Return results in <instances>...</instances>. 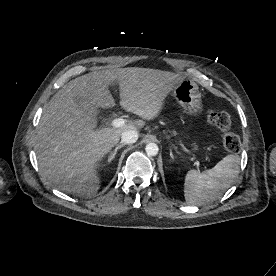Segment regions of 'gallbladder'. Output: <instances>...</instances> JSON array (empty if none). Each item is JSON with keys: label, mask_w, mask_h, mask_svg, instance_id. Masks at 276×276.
<instances>
[{"label": "gallbladder", "mask_w": 276, "mask_h": 276, "mask_svg": "<svg viewBox=\"0 0 276 276\" xmlns=\"http://www.w3.org/2000/svg\"><path fill=\"white\" fill-rule=\"evenodd\" d=\"M75 101L82 109L90 113L92 116H96L99 113L98 108L89 104L87 101L81 98H75Z\"/></svg>", "instance_id": "obj_1"}]
</instances>
